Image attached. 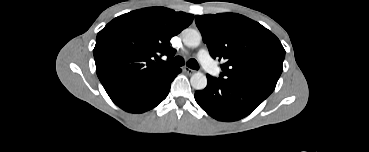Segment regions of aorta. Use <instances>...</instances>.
I'll list each match as a JSON object with an SVG mask.
<instances>
[{"label":"aorta","mask_w":369,"mask_h":152,"mask_svg":"<svg viewBox=\"0 0 369 152\" xmlns=\"http://www.w3.org/2000/svg\"><path fill=\"white\" fill-rule=\"evenodd\" d=\"M201 39L200 32L195 29L187 28L182 31V41L187 47H198ZM190 82L194 89L203 90L207 85V78L203 73L196 72L191 76Z\"/></svg>","instance_id":"aorta-1"}]
</instances>
